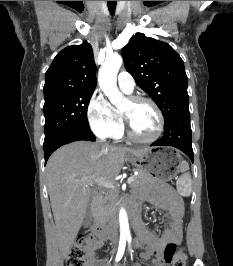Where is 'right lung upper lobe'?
I'll use <instances>...</instances> for the list:
<instances>
[{"label":"right lung upper lobe","mask_w":233,"mask_h":266,"mask_svg":"<svg viewBox=\"0 0 233 266\" xmlns=\"http://www.w3.org/2000/svg\"><path fill=\"white\" fill-rule=\"evenodd\" d=\"M96 66L88 42L60 51L46 72L44 97L65 92L95 90Z\"/></svg>","instance_id":"cb5924a9"}]
</instances>
